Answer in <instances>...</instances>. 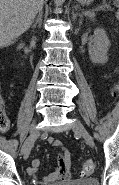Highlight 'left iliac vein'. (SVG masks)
<instances>
[{
    "instance_id": "4c4485c4",
    "label": "left iliac vein",
    "mask_w": 119,
    "mask_h": 185,
    "mask_svg": "<svg viewBox=\"0 0 119 185\" xmlns=\"http://www.w3.org/2000/svg\"><path fill=\"white\" fill-rule=\"evenodd\" d=\"M72 128L76 134L83 137V139L90 147L94 148L95 144H94L93 138L91 137V135L88 133V131L85 129V127L80 121L75 120V122L72 125Z\"/></svg>"
}]
</instances>
